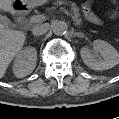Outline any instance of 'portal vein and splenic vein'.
I'll return each mask as SVG.
<instances>
[{
    "instance_id": "portal-vein-and-splenic-vein-1",
    "label": "portal vein and splenic vein",
    "mask_w": 119,
    "mask_h": 119,
    "mask_svg": "<svg viewBox=\"0 0 119 119\" xmlns=\"http://www.w3.org/2000/svg\"><path fill=\"white\" fill-rule=\"evenodd\" d=\"M61 10L65 13H68L66 9L64 8H61ZM42 19H44V16L43 15H35V16H32L31 17V22H39L41 21Z\"/></svg>"
}]
</instances>
